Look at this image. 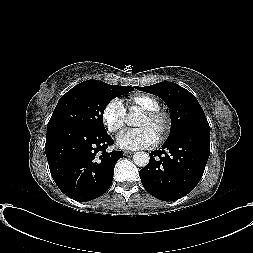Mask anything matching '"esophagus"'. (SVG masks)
<instances>
[{"label": "esophagus", "instance_id": "obj_1", "mask_svg": "<svg viewBox=\"0 0 253 253\" xmlns=\"http://www.w3.org/2000/svg\"><path fill=\"white\" fill-rule=\"evenodd\" d=\"M133 153H134V152H132V151H125V152H124V155H126V156H127V155H132Z\"/></svg>", "mask_w": 253, "mask_h": 253}]
</instances>
